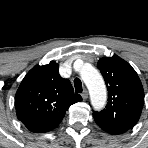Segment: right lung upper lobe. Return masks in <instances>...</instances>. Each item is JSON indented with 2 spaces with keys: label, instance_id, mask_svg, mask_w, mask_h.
Returning a JSON list of instances; mask_svg holds the SVG:
<instances>
[{
  "label": "right lung upper lobe",
  "instance_id": "cb5924a9",
  "mask_svg": "<svg viewBox=\"0 0 148 148\" xmlns=\"http://www.w3.org/2000/svg\"><path fill=\"white\" fill-rule=\"evenodd\" d=\"M59 65L35 66L22 80L16 95L18 119L34 133H45L56 128L68 108L82 100L75 94L68 79L59 75Z\"/></svg>",
  "mask_w": 148,
  "mask_h": 148
}]
</instances>
